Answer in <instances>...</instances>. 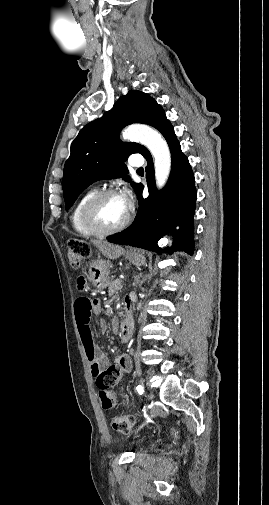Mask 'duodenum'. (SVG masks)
Instances as JSON below:
<instances>
[{
  "label": "duodenum",
  "instance_id": "duodenum-1",
  "mask_svg": "<svg viewBox=\"0 0 269 505\" xmlns=\"http://www.w3.org/2000/svg\"><path fill=\"white\" fill-rule=\"evenodd\" d=\"M133 327H134L133 317L128 307V310L120 324V338L122 341L127 342L130 340Z\"/></svg>",
  "mask_w": 269,
  "mask_h": 505
}]
</instances>
